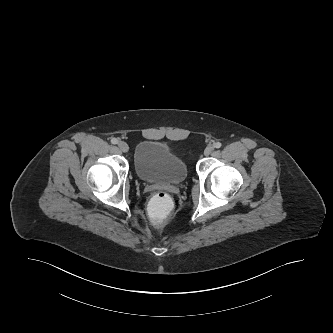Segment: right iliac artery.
Masks as SVG:
<instances>
[{"instance_id": "82829eb1", "label": "right iliac artery", "mask_w": 333, "mask_h": 333, "mask_svg": "<svg viewBox=\"0 0 333 333\" xmlns=\"http://www.w3.org/2000/svg\"><path fill=\"white\" fill-rule=\"evenodd\" d=\"M111 143H112V144H117V143H118V140H117L116 138H112V139H111Z\"/></svg>"}]
</instances>
